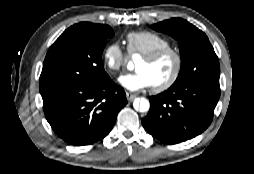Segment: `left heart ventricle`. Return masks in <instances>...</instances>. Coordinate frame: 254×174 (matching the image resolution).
Segmentation results:
<instances>
[{"label": "left heart ventricle", "instance_id": "obj_1", "mask_svg": "<svg viewBox=\"0 0 254 174\" xmlns=\"http://www.w3.org/2000/svg\"><path fill=\"white\" fill-rule=\"evenodd\" d=\"M175 67V59L172 54H166L155 62L149 63L140 60L136 69L146 72L153 82V86L165 82L172 74Z\"/></svg>", "mask_w": 254, "mask_h": 174}]
</instances>
